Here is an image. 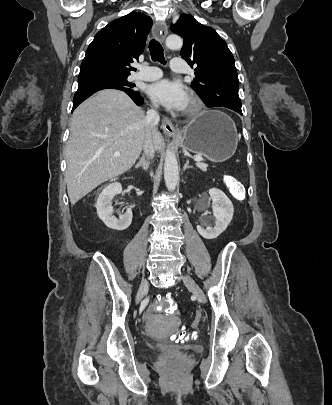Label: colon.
<instances>
[{
	"instance_id": "5ec220e1",
	"label": "colon",
	"mask_w": 332,
	"mask_h": 405,
	"mask_svg": "<svg viewBox=\"0 0 332 405\" xmlns=\"http://www.w3.org/2000/svg\"><path fill=\"white\" fill-rule=\"evenodd\" d=\"M224 183L235 199H243L245 190L241 182L232 176L226 175L224 177ZM153 307L163 313L162 315L164 319H178L184 314V309L180 306V303L176 299H173L171 295H155L153 297ZM176 330L181 333H172L170 335V340L172 342L188 340L189 335L186 334V332L190 330L192 334H197L199 332V327L197 325H192L190 329H188L186 326H179Z\"/></svg>"
}]
</instances>
